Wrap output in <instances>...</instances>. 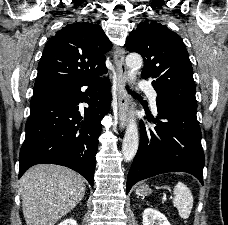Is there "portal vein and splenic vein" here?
Returning <instances> with one entry per match:
<instances>
[{"instance_id":"1","label":"portal vein and splenic vein","mask_w":228,"mask_h":225,"mask_svg":"<svg viewBox=\"0 0 228 225\" xmlns=\"http://www.w3.org/2000/svg\"><path fill=\"white\" fill-rule=\"evenodd\" d=\"M159 198H160V200H162V204L163 205H166L167 204V199H166L167 197H166V195H160ZM171 199L172 200H175L176 199V196L175 195H172L171 196Z\"/></svg>"}]
</instances>
